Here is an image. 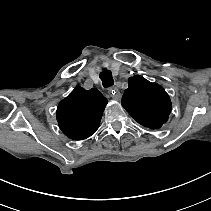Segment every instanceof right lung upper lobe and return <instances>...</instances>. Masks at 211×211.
Masks as SVG:
<instances>
[{
  "mask_svg": "<svg viewBox=\"0 0 211 211\" xmlns=\"http://www.w3.org/2000/svg\"><path fill=\"white\" fill-rule=\"evenodd\" d=\"M106 104L107 99L97 89L75 87L57 107L60 129L73 140L88 138L98 129Z\"/></svg>",
  "mask_w": 211,
  "mask_h": 211,
  "instance_id": "right-lung-upper-lobe-1",
  "label": "right lung upper lobe"
}]
</instances>
